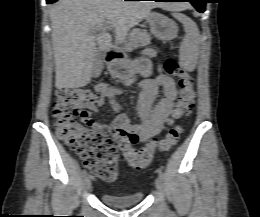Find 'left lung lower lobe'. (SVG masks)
<instances>
[{
  "mask_svg": "<svg viewBox=\"0 0 260 217\" xmlns=\"http://www.w3.org/2000/svg\"><path fill=\"white\" fill-rule=\"evenodd\" d=\"M153 1H161V2H182V1H188L191 2L192 5L197 9L199 12L205 11V4L207 3L206 0H153Z\"/></svg>",
  "mask_w": 260,
  "mask_h": 217,
  "instance_id": "left-lung-lower-lobe-1",
  "label": "left lung lower lobe"
}]
</instances>
